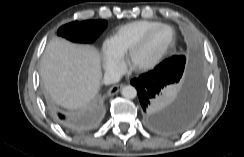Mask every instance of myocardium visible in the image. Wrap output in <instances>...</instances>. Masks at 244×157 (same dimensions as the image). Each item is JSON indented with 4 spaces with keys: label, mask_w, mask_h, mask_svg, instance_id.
<instances>
[{
    "label": "myocardium",
    "mask_w": 244,
    "mask_h": 157,
    "mask_svg": "<svg viewBox=\"0 0 244 157\" xmlns=\"http://www.w3.org/2000/svg\"><path fill=\"white\" fill-rule=\"evenodd\" d=\"M160 28H169L173 31V39H172L171 43L151 62L144 64V65L135 66L134 59H135L136 54L141 50V48L144 46V44L146 43L148 38L151 36V34ZM176 38H177L176 30L170 24L160 23V24L152 27L141 37V39L126 54V62L128 64V66L138 72H146V71L153 69L163 60V58L174 47V45L176 43Z\"/></svg>",
    "instance_id": "f54148a6"
}]
</instances>
